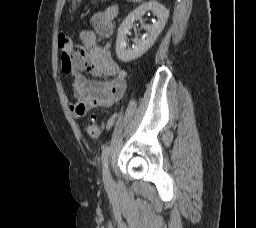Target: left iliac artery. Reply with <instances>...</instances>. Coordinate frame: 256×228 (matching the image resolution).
<instances>
[{"label":"left iliac artery","mask_w":256,"mask_h":228,"mask_svg":"<svg viewBox=\"0 0 256 228\" xmlns=\"http://www.w3.org/2000/svg\"><path fill=\"white\" fill-rule=\"evenodd\" d=\"M110 153V148L108 146L103 148L101 159L104 166H106V161Z\"/></svg>","instance_id":"obj_1"}]
</instances>
